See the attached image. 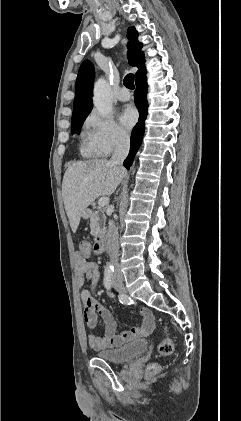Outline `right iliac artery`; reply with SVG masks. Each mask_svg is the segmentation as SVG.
Wrapping results in <instances>:
<instances>
[{"label": "right iliac artery", "mask_w": 241, "mask_h": 421, "mask_svg": "<svg viewBox=\"0 0 241 421\" xmlns=\"http://www.w3.org/2000/svg\"><path fill=\"white\" fill-rule=\"evenodd\" d=\"M111 278H112V271L106 270L105 273H104V285H105L107 290L111 289ZM118 298H119L120 303H122L124 305L131 304V300L127 295L119 294Z\"/></svg>", "instance_id": "82829eb1"}]
</instances>
